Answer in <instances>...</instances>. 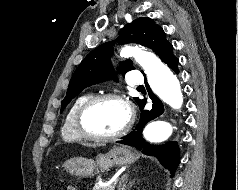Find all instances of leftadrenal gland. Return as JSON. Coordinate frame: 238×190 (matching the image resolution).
<instances>
[{"mask_svg": "<svg viewBox=\"0 0 238 190\" xmlns=\"http://www.w3.org/2000/svg\"><path fill=\"white\" fill-rule=\"evenodd\" d=\"M127 177H128V173H125L121 179H120V182H119V186H118V190H127L128 189V186H131V184L133 182H130L129 185L127 186Z\"/></svg>", "mask_w": 238, "mask_h": 190, "instance_id": "obj_1", "label": "left adrenal gland"}]
</instances>
